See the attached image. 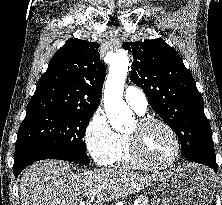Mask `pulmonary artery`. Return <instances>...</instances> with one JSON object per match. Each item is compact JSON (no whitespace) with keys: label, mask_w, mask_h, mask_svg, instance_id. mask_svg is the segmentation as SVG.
<instances>
[{"label":"pulmonary artery","mask_w":222,"mask_h":205,"mask_svg":"<svg viewBox=\"0 0 222 205\" xmlns=\"http://www.w3.org/2000/svg\"><path fill=\"white\" fill-rule=\"evenodd\" d=\"M125 101L139 114L146 112L148 101L144 92L135 86H128L124 93Z\"/></svg>","instance_id":"1"}]
</instances>
